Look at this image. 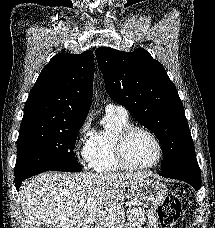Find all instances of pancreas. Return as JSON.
<instances>
[{
	"label": "pancreas",
	"mask_w": 215,
	"mask_h": 228,
	"mask_svg": "<svg viewBox=\"0 0 215 228\" xmlns=\"http://www.w3.org/2000/svg\"><path fill=\"white\" fill-rule=\"evenodd\" d=\"M145 222L146 216L143 208H133V210H128L127 222H125L124 228H142Z\"/></svg>",
	"instance_id": "1"
}]
</instances>
